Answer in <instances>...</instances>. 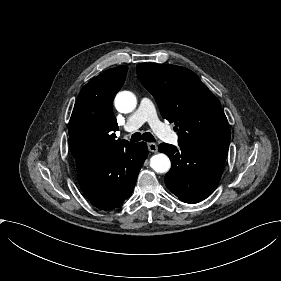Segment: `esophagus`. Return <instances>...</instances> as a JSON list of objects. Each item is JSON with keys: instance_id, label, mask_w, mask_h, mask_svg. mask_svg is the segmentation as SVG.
Listing matches in <instances>:
<instances>
[{"instance_id": "34e87169", "label": "esophagus", "mask_w": 281, "mask_h": 281, "mask_svg": "<svg viewBox=\"0 0 281 281\" xmlns=\"http://www.w3.org/2000/svg\"><path fill=\"white\" fill-rule=\"evenodd\" d=\"M147 146H148V150L150 152H154L155 153V152L158 151V147H157V145L155 143H148Z\"/></svg>"}]
</instances>
